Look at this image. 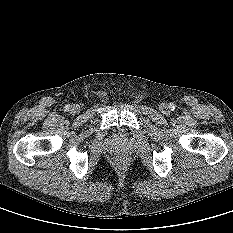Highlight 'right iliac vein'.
Masks as SVG:
<instances>
[{
	"label": "right iliac vein",
	"mask_w": 233,
	"mask_h": 233,
	"mask_svg": "<svg viewBox=\"0 0 233 233\" xmlns=\"http://www.w3.org/2000/svg\"><path fill=\"white\" fill-rule=\"evenodd\" d=\"M71 112L73 114H77L80 112V106L78 104H74L72 107H71Z\"/></svg>",
	"instance_id": "63e3f726"
}]
</instances>
